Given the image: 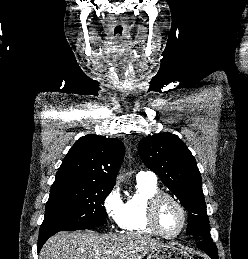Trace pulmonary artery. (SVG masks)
I'll return each instance as SVG.
<instances>
[{
  "label": "pulmonary artery",
  "instance_id": "pulmonary-artery-1",
  "mask_svg": "<svg viewBox=\"0 0 248 259\" xmlns=\"http://www.w3.org/2000/svg\"><path fill=\"white\" fill-rule=\"evenodd\" d=\"M136 178L137 179H146V180L153 181V182L157 181V176L152 171H140V172H138Z\"/></svg>",
  "mask_w": 248,
  "mask_h": 259
}]
</instances>
